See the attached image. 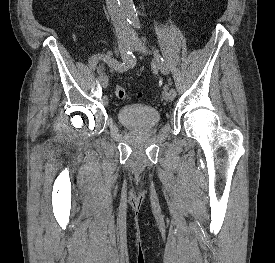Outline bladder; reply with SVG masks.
I'll return each instance as SVG.
<instances>
[{
    "label": "bladder",
    "mask_w": 275,
    "mask_h": 263,
    "mask_svg": "<svg viewBox=\"0 0 275 263\" xmlns=\"http://www.w3.org/2000/svg\"><path fill=\"white\" fill-rule=\"evenodd\" d=\"M160 113L146 105H131L117 111L118 122L131 130L151 129L159 124Z\"/></svg>",
    "instance_id": "1"
}]
</instances>
